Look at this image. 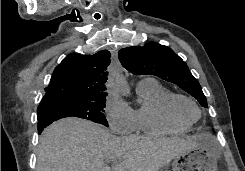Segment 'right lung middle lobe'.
<instances>
[{"instance_id":"right-lung-middle-lobe-1","label":"right lung middle lobe","mask_w":245,"mask_h":171,"mask_svg":"<svg viewBox=\"0 0 245 171\" xmlns=\"http://www.w3.org/2000/svg\"><path fill=\"white\" fill-rule=\"evenodd\" d=\"M106 95L92 98H66L45 101L38 106V120L49 119L55 121L73 116L108 127L104 111Z\"/></svg>"}]
</instances>
